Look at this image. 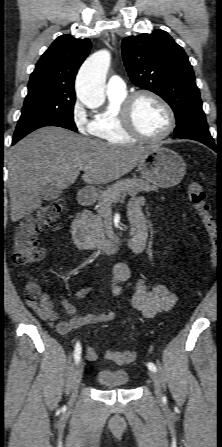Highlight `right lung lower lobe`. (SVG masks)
<instances>
[{
	"instance_id": "1",
	"label": "right lung lower lobe",
	"mask_w": 222,
	"mask_h": 447,
	"mask_svg": "<svg viewBox=\"0 0 222 447\" xmlns=\"http://www.w3.org/2000/svg\"><path fill=\"white\" fill-rule=\"evenodd\" d=\"M17 141H18V140H14V139H13L12 145H14Z\"/></svg>"
}]
</instances>
